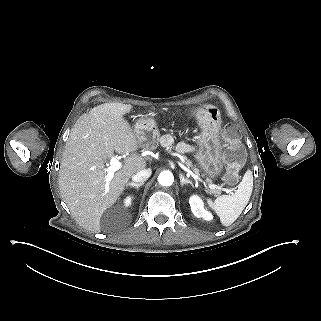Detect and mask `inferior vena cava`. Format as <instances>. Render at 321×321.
Here are the masks:
<instances>
[{"mask_svg": "<svg viewBox=\"0 0 321 321\" xmlns=\"http://www.w3.org/2000/svg\"><path fill=\"white\" fill-rule=\"evenodd\" d=\"M152 174L151 169H145L140 171L132 176V181L134 183H143L145 182Z\"/></svg>", "mask_w": 321, "mask_h": 321, "instance_id": "inferior-vena-cava-1", "label": "inferior vena cava"}]
</instances>
